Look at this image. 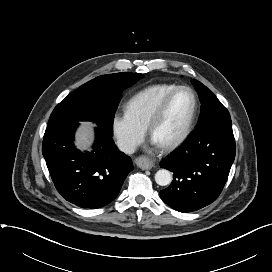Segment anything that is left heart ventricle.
Listing matches in <instances>:
<instances>
[{"label":"left heart ventricle","mask_w":272,"mask_h":272,"mask_svg":"<svg viewBox=\"0 0 272 272\" xmlns=\"http://www.w3.org/2000/svg\"><path fill=\"white\" fill-rule=\"evenodd\" d=\"M193 108L188 91L178 92L171 100L165 115L153 132V140L162 145L177 138L183 131Z\"/></svg>","instance_id":"b2bd125f"}]
</instances>
